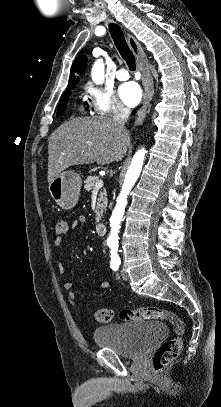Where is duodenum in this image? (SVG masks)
<instances>
[{
	"mask_svg": "<svg viewBox=\"0 0 221 407\" xmlns=\"http://www.w3.org/2000/svg\"><path fill=\"white\" fill-rule=\"evenodd\" d=\"M106 225L104 223H97L96 224V232L98 235H104L106 232Z\"/></svg>",
	"mask_w": 221,
	"mask_h": 407,
	"instance_id": "duodenum-1",
	"label": "duodenum"
}]
</instances>
